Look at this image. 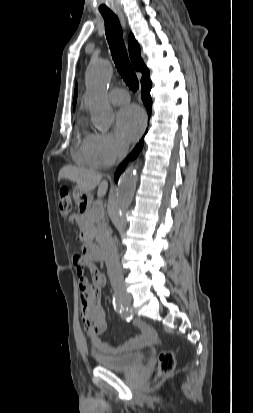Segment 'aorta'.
Masks as SVG:
<instances>
[{"mask_svg":"<svg viewBox=\"0 0 253 413\" xmlns=\"http://www.w3.org/2000/svg\"><path fill=\"white\" fill-rule=\"evenodd\" d=\"M112 65L108 60L100 59L92 62L85 75V103L89 109L93 124L106 131L112 124L113 110L107 101L111 82ZM136 188L134 170L128 169L120 178L117 192L110 204V213L117 217L121 215L133 199Z\"/></svg>","mask_w":253,"mask_h":413,"instance_id":"aorta-1","label":"aorta"}]
</instances>
